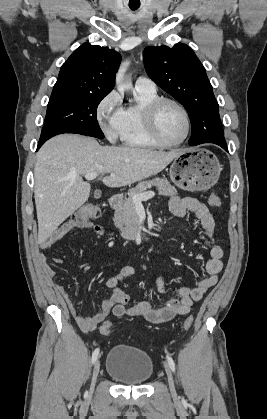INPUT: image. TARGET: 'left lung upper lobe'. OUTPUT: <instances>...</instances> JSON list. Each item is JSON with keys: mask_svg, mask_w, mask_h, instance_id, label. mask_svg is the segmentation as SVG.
I'll return each mask as SVG.
<instances>
[{"mask_svg": "<svg viewBox=\"0 0 267 419\" xmlns=\"http://www.w3.org/2000/svg\"><path fill=\"white\" fill-rule=\"evenodd\" d=\"M144 66L149 77L184 106L191 118V137L212 132L224 141L219 106L205 68L186 44L146 47Z\"/></svg>", "mask_w": 267, "mask_h": 419, "instance_id": "5c2ea615", "label": "left lung upper lobe"}]
</instances>
